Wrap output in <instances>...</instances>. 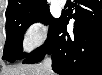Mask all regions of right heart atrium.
Masks as SVG:
<instances>
[{"mask_svg":"<svg viewBox=\"0 0 102 75\" xmlns=\"http://www.w3.org/2000/svg\"><path fill=\"white\" fill-rule=\"evenodd\" d=\"M48 36V27L42 20L29 22L22 33V46L25 51H31L42 44Z\"/></svg>","mask_w":102,"mask_h":75,"instance_id":"1","label":"right heart atrium"}]
</instances>
